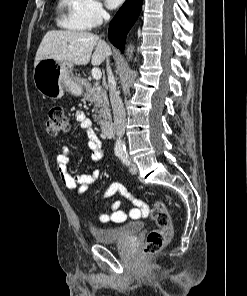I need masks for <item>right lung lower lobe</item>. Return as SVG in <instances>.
Returning <instances> with one entry per match:
<instances>
[{
    "instance_id": "right-lung-lower-lobe-1",
    "label": "right lung lower lobe",
    "mask_w": 247,
    "mask_h": 296,
    "mask_svg": "<svg viewBox=\"0 0 247 296\" xmlns=\"http://www.w3.org/2000/svg\"><path fill=\"white\" fill-rule=\"evenodd\" d=\"M142 2L143 0H126L110 23L109 39L122 52L126 35L140 14Z\"/></svg>"
}]
</instances>
